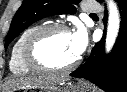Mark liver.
I'll list each match as a JSON object with an SVG mask.
<instances>
[{"instance_id":"liver-1","label":"liver","mask_w":127,"mask_h":92,"mask_svg":"<svg viewBox=\"0 0 127 92\" xmlns=\"http://www.w3.org/2000/svg\"><path fill=\"white\" fill-rule=\"evenodd\" d=\"M69 78L57 75H43L34 77H13L3 85V92H14L26 88L51 89L56 85L65 84Z\"/></svg>"}]
</instances>
